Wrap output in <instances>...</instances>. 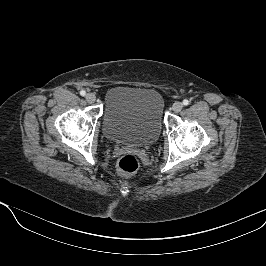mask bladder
Returning a JSON list of instances; mask_svg holds the SVG:
<instances>
[{"label": "bladder", "mask_w": 266, "mask_h": 266, "mask_svg": "<svg viewBox=\"0 0 266 266\" xmlns=\"http://www.w3.org/2000/svg\"><path fill=\"white\" fill-rule=\"evenodd\" d=\"M163 110L164 99L156 89L113 87L104 99L103 134L119 144L151 145L160 136Z\"/></svg>", "instance_id": "31cf9c89"}]
</instances>
